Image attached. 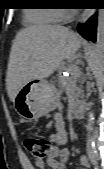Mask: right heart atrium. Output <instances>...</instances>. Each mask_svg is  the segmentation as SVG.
I'll return each instance as SVG.
<instances>
[{"mask_svg":"<svg viewBox=\"0 0 104 169\" xmlns=\"http://www.w3.org/2000/svg\"><path fill=\"white\" fill-rule=\"evenodd\" d=\"M70 13V9H59V19H67L70 16Z\"/></svg>","mask_w":104,"mask_h":169,"instance_id":"d8ad5b80","label":"right heart atrium"}]
</instances>
